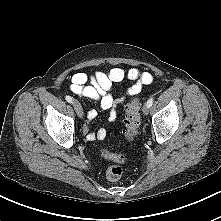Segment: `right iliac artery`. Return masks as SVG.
<instances>
[{
	"label": "right iliac artery",
	"instance_id": "82829eb1",
	"mask_svg": "<svg viewBox=\"0 0 221 221\" xmlns=\"http://www.w3.org/2000/svg\"><path fill=\"white\" fill-rule=\"evenodd\" d=\"M65 99H66V101L69 102V103L72 102V97H70V96H66Z\"/></svg>",
	"mask_w": 221,
	"mask_h": 221
}]
</instances>
